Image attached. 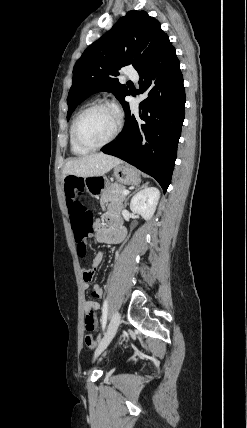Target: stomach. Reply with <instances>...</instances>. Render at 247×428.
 Segmentation results:
<instances>
[{"instance_id":"0dacf381","label":"stomach","mask_w":247,"mask_h":428,"mask_svg":"<svg viewBox=\"0 0 247 428\" xmlns=\"http://www.w3.org/2000/svg\"><path fill=\"white\" fill-rule=\"evenodd\" d=\"M114 178L121 184L133 185L140 182L138 171L130 165H116L113 169ZM85 188L92 197H99L107 186L109 181L105 176H91L83 178Z\"/></svg>"}]
</instances>
